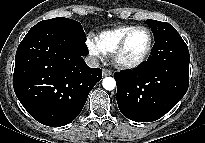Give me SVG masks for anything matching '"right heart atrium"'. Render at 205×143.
<instances>
[{
    "label": "right heart atrium",
    "mask_w": 205,
    "mask_h": 143,
    "mask_svg": "<svg viewBox=\"0 0 205 143\" xmlns=\"http://www.w3.org/2000/svg\"><path fill=\"white\" fill-rule=\"evenodd\" d=\"M86 47L89 53L94 57L100 58L103 54L101 50L99 49L95 39L92 37H88L86 39Z\"/></svg>",
    "instance_id": "d8ad5b80"
}]
</instances>
